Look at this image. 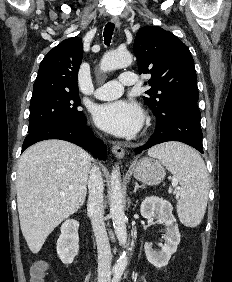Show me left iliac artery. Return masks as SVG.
<instances>
[{"label": "left iliac artery", "instance_id": "44dca946", "mask_svg": "<svg viewBox=\"0 0 232 282\" xmlns=\"http://www.w3.org/2000/svg\"><path fill=\"white\" fill-rule=\"evenodd\" d=\"M121 273H116L113 277V280L112 282H119L120 281V278H121Z\"/></svg>", "mask_w": 232, "mask_h": 282}]
</instances>
